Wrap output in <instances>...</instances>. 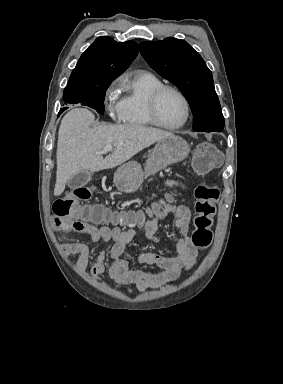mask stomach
<instances>
[{"label":"stomach","mask_w":283,"mask_h":384,"mask_svg":"<svg viewBox=\"0 0 283 384\" xmlns=\"http://www.w3.org/2000/svg\"><path fill=\"white\" fill-rule=\"evenodd\" d=\"M190 146L180 136H168L156 142L151 154L148 156L142 170L138 162H126L118 168L114 174V184L119 192L133 194L140 188L147 176H152L160 170H164L170 164L182 162L189 156Z\"/></svg>","instance_id":"1"}]
</instances>
